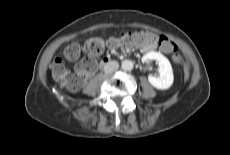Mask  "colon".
Masks as SVG:
<instances>
[{"label": "colon", "mask_w": 230, "mask_h": 155, "mask_svg": "<svg viewBox=\"0 0 230 155\" xmlns=\"http://www.w3.org/2000/svg\"><path fill=\"white\" fill-rule=\"evenodd\" d=\"M104 42L99 38H91L87 40L83 46L87 57L78 65L77 73L74 76L69 75V70L60 58H56L51 64V73L53 78L60 82L63 86L70 90L79 88L85 77L92 73L97 66L95 57L100 55L106 46L109 44L118 43L123 47L144 46L150 43H158L159 47L166 53L174 55L176 61L179 60L176 55L177 47L174 42L168 37L162 35L156 37L155 35L143 31H134L126 33L120 39L111 38ZM81 45L79 43H72L65 50V57L68 60H77L80 57Z\"/></svg>", "instance_id": "obj_1"}]
</instances>
